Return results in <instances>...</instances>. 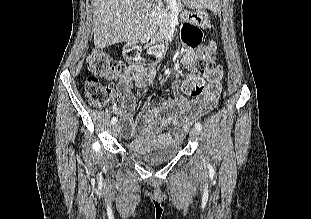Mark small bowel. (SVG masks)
<instances>
[{
  "label": "small bowel",
  "mask_w": 311,
  "mask_h": 219,
  "mask_svg": "<svg viewBox=\"0 0 311 219\" xmlns=\"http://www.w3.org/2000/svg\"><path fill=\"white\" fill-rule=\"evenodd\" d=\"M183 41L187 48L182 63L189 65L194 59L197 45ZM156 77L157 70L153 65L145 67L140 62H134L127 69L125 80L118 85L120 103L112 110L120 116L124 138L136 137L147 143L170 145L182 140L192 121L216 104L221 92L222 71L219 67L212 71L208 76L209 86L195 98L183 94L180 80L175 78L172 82L174 98L160 100L144 108L134 119L136 102L129 83L134 82L140 88H151ZM168 127V132H161Z\"/></svg>",
  "instance_id": "c3829d8e"
}]
</instances>
